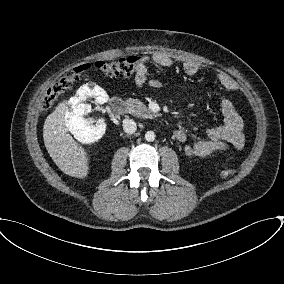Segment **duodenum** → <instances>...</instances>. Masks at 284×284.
I'll return each instance as SVG.
<instances>
[{"mask_svg": "<svg viewBox=\"0 0 284 284\" xmlns=\"http://www.w3.org/2000/svg\"><path fill=\"white\" fill-rule=\"evenodd\" d=\"M110 107L115 114L124 115L127 113V105L125 101L119 97H113L110 100Z\"/></svg>", "mask_w": 284, "mask_h": 284, "instance_id": "duodenum-1", "label": "duodenum"}]
</instances>
